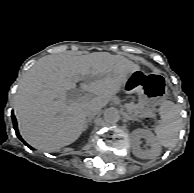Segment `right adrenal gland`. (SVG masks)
<instances>
[{
	"instance_id": "2a0ac1e0",
	"label": "right adrenal gland",
	"mask_w": 194,
	"mask_h": 193,
	"mask_svg": "<svg viewBox=\"0 0 194 193\" xmlns=\"http://www.w3.org/2000/svg\"><path fill=\"white\" fill-rule=\"evenodd\" d=\"M91 122H92V118L91 119H88L86 121V127H85V130H87L89 128V125H91Z\"/></svg>"
}]
</instances>
